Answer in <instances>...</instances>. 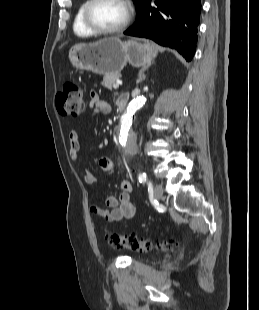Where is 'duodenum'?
Segmentation results:
<instances>
[{"label":"duodenum","instance_id":"duodenum-1","mask_svg":"<svg viewBox=\"0 0 259 310\" xmlns=\"http://www.w3.org/2000/svg\"><path fill=\"white\" fill-rule=\"evenodd\" d=\"M129 102V96L123 95L118 99V108L124 110Z\"/></svg>","mask_w":259,"mask_h":310}]
</instances>
